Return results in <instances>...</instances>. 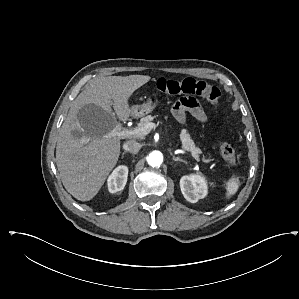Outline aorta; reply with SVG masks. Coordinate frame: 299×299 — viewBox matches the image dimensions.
<instances>
[{
  "label": "aorta",
  "mask_w": 299,
  "mask_h": 299,
  "mask_svg": "<svg viewBox=\"0 0 299 299\" xmlns=\"http://www.w3.org/2000/svg\"><path fill=\"white\" fill-rule=\"evenodd\" d=\"M147 162L152 167H160L163 162V155L160 151H152L147 157Z\"/></svg>",
  "instance_id": "1"
}]
</instances>
